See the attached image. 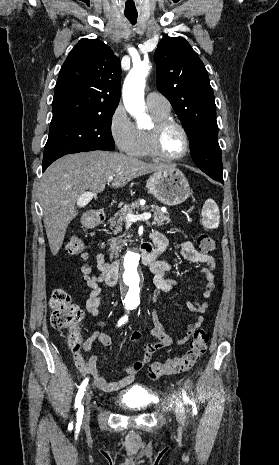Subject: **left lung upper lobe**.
Segmentation results:
<instances>
[{"label":"left lung upper lobe","instance_id":"5c2ea615","mask_svg":"<svg viewBox=\"0 0 279 465\" xmlns=\"http://www.w3.org/2000/svg\"><path fill=\"white\" fill-rule=\"evenodd\" d=\"M158 90L170 101L190 141L194 163L223 181L213 89L207 70L182 37H165L155 52Z\"/></svg>","mask_w":279,"mask_h":465}]
</instances>
